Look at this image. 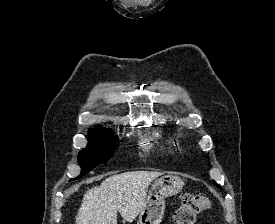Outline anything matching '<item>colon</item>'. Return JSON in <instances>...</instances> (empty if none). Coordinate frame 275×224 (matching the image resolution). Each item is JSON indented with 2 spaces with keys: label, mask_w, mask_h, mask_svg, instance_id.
<instances>
[{
  "label": "colon",
  "mask_w": 275,
  "mask_h": 224,
  "mask_svg": "<svg viewBox=\"0 0 275 224\" xmlns=\"http://www.w3.org/2000/svg\"><path fill=\"white\" fill-rule=\"evenodd\" d=\"M209 205V200L204 195L185 194L181 205L174 212V224H194L197 216L207 210Z\"/></svg>",
  "instance_id": "5ec220e1"
}]
</instances>
